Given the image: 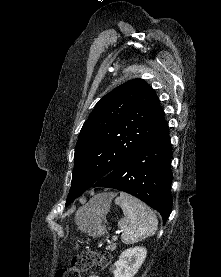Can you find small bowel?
Here are the masks:
<instances>
[{
  "instance_id": "obj_1",
  "label": "small bowel",
  "mask_w": 221,
  "mask_h": 277,
  "mask_svg": "<svg viewBox=\"0 0 221 277\" xmlns=\"http://www.w3.org/2000/svg\"><path fill=\"white\" fill-rule=\"evenodd\" d=\"M88 277H99V276L96 274H92V275H89Z\"/></svg>"
}]
</instances>
